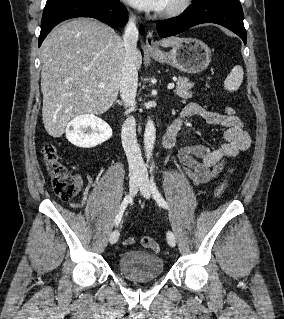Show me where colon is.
<instances>
[{"label": "colon", "instance_id": "5ec220e1", "mask_svg": "<svg viewBox=\"0 0 284 319\" xmlns=\"http://www.w3.org/2000/svg\"><path fill=\"white\" fill-rule=\"evenodd\" d=\"M225 113L227 116H234L236 111L233 107H226ZM43 159L45 161L47 170L51 177L52 186L55 194L62 200H71L76 197L82 188V179L77 174H72L67 171L65 166L60 162L57 149L50 144L43 147ZM232 171L229 169L227 175L223 178L215 189V197H220L226 190V177ZM134 243L133 238H127L123 241L125 246H130ZM141 244L145 248L151 249L158 253L160 251L159 244L149 236L141 238Z\"/></svg>", "mask_w": 284, "mask_h": 319}]
</instances>
